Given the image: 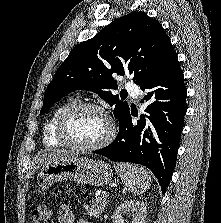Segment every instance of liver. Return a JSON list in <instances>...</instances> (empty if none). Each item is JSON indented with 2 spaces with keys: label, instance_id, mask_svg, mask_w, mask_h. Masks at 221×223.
I'll return each mask as SVG.
<instances>
[{
  "label": "liver",
  "instance_id": "obj_1",
  "mask_svg": "<svg viewBox=\"0 0 221 223\" xmlns=\"http://www.w3.org/2000/svg\"><path fill=\"white\" fill-rule=\"evenodd\" d=\"M74 153L68 150H52L51 152H43L37 158L38 164H45L48 162H53L58 159L67 158L73 156Z\"/></svg>",
  "mask_w": 221,
  "mask_h": 223
}]
</instances>
